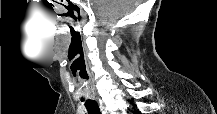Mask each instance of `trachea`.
Wrapping results in <instances>:
<instances>
[{"label": "trachea", "mask_w": 217, "mask_h": 114, "mask_svg": "<svg viewBox=\"0 0 217 114\" xmlns=\"http://www.w3.org/2000/svg\"><path fill=\"white\" fill-rule=\"evenodd\" d=\"M83 101V100H82ZM85 107L89 114H100V109L96 101L94 100H86Z\"/></svg>", "instance_id": "1"}]
</instances>
